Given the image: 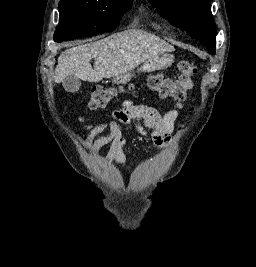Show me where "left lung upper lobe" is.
<instances>
[{
  "mask_svg": "<svg viewBox=\"0 0 256 267\" xmlns=\"http://www.w3.org/2000/svg\"><path fill=\"white\" fill-rule=\"evenodd\" d=\"M159 14L173 25L186 30L215 53V23L210 0H149Z\"/></svg>",
  "mask_w": 256,
  "mask_h": 267,
  "instance_id": "left-lung-upper-lobe-1",
  "label": "left lung upper lobe"
}]
</instances>
